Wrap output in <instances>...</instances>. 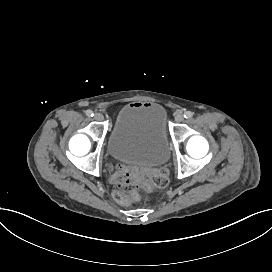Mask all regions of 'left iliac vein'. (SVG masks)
Returning a JSON list of instances; mask_svg holds the SVG:
<instances>
[{
    "instance_id": "1",
    "label": "left iliac vein",
    "mask_w": 272,
    "mask_h": 272,
    "mask_svg": "<svg viewBox=\"0 0 272 272\" xmlns=\"http://www.w3.org/2000/svg\"><path fill=\"white\" fill-rule=\"evenodd\" d=\"M184 119V116L181 112H176L175 113V121L176 122H182Z\"/></svg>"
}]
</instances>
